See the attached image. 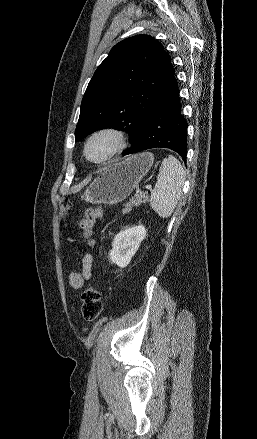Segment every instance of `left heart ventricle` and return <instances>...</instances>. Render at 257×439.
Here are the masks:
<instances>
[{
    "mask_svg": "<svg viewBox=\"0 0 257 439\" xmlns=\"http://www.w3.org/2000/svg\"><path fill=\"white\" fill-rule=\"evenodd\" d=\"M114 147V140L109 136H100L94 139L89 148L88 154L92 159H101L105 157Z\"/></svg>",
    "mask_w": 257,
    "mask_h": 439,
    "instance_id": "b2bd125f",
    "label": "left heart ventricle"
}]
</instances>
